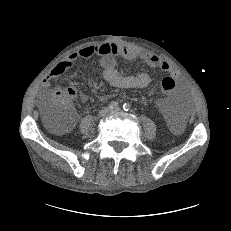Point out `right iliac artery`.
<instances>
[{
  "label": "right iliac artery",
  "instance_id": "82829eb1",
  "mask_svg": "<svg viewBox=\"0 0 231 231\" xmlns=\"http://www.w3.org/2000/svg\"><path fill=\"white\" fill-rule=\"evenodd\" d=\"M118 106V102H116V101H113V102H111L110 104H109V108L110 109H114V108H116Z\"/></svg>",
  "mask_w": 231,
  "mask_h": 231
}]
</instances>
